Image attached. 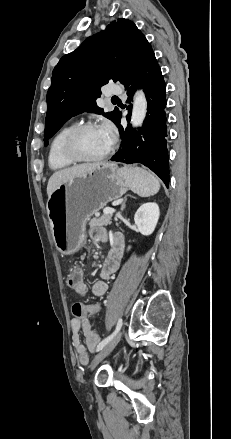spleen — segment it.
<instances>
[{"mask_svg": "<svg viewBox=\"0 0 231 439\" xmlns=\"http://www.w3.org/2000/svg\"><path fill=\"white\" fill-rule=\"evenodd\" d=\"M129 188L141 197H149L160 189L156 176L140 167H123L120 169Z\"/></svg>", "mask_w": 231, "mask_h": 439, "instance_id": "obj_1", "label": "spleen"}]
</instances>
